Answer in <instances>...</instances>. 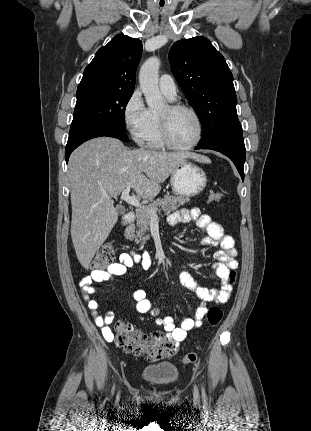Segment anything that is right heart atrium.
<instances>
[{
    "mask_svg": "<svg viewBox=\"0 0 311 431\" xmlns=\"http://www.w3.org/2000/svg\"><path fill=\"white\" fill-rule=\"evenodd\" d=\"M149 110L144 104L139 90L131 92L123 106V122L130 137L139 145L145 143L144 132Z\"/></svg>",
    "mask_w": 311,
    "mask_h": 431,
    "instance_id": "1",
    "label": "right heart atrium"
}]
</instances>
